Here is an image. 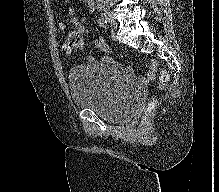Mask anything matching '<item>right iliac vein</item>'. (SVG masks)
Returning <instances> with one entry per match:
<instances>
[{"label":"right iliac vein","mask_w":219,"mask_h":192,"mask_svg":"<svg viewBox=\"0 0 219 192\" xmlns=\"http://www.w3.org/2000/svg\"><path fill=\"white\" fill-rule=\"evenodd\" d=\"M103 16L107 19V21L111 24V26L116 29L117 28V23L114 19V17L112 16L110 10L108 8H105L103 10Z\"/></svg>","instance_id":"obj_1"}]
</instances>
